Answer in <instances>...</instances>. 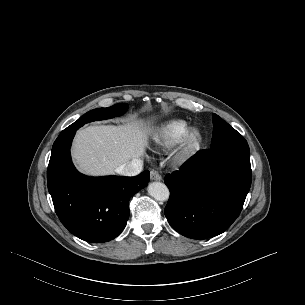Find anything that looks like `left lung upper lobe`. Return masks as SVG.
I'll return each mask as SVG.
<instances>
[{"label": "left lung upper lobe", "instance_id": "5c2ea615", "mask_svg": "<svg viewBox=\"0 0 305 305\" xmlns=\"http://www.w3.org/2000/svg\"><path fill=\"white\" fill-rule=\"evenodd\" d=\"M213 136L209 150L241 149L249 151L247 141L232 126L213 114Z\"/></svg>", "mask_w": 305, "mask_h": 305}]
</instances>
